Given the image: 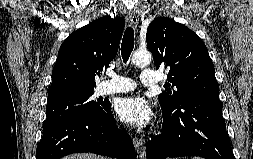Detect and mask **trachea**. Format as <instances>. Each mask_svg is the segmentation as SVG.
I'll return each mask as SVG.
<instances>
[{"instance_id": "3493384b", "label": "trachea", "mask_w": 253, "mask_h": 159, "mask_svg": "<svg viewBox=\"0 0 253 159\" xmlns=\"http://www.w3.org/2000/svg\"><path fill=\"white\" fill-rule=\"evenodd\" d=\"M134 48V31L132 27H127L121 44V55L123 61L126 63Z\"/></svg>"}]
</instances>
